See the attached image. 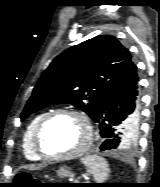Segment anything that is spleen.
<instances>
[{
  "mask_svg": "<svg viewBox=\"0 0 160 187\" xmlns=\"http://www.w3.org/2000/svg\"><path fill=\"white\" fill-rule=\"evenodd\" d=\"M82 163L87 167L88 171L93 174L94 179L98 183H102L108 177V164L104 158L99 156H86L82 158Z\"/></svg>",
  "mask_w": 160,
  "mask_h": 187,
  "instance_id": "spleen-1",
  "label": "spleen"
}]
</instances>
